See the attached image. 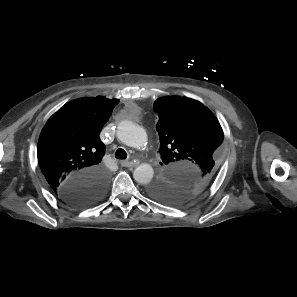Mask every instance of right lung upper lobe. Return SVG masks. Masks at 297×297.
<instances>
[{
    "mask_svg": "<svg viewBox=\"0 0 297 297\" xmlns=\"http://www.w3.org/2000/svg\"><path fill=\"white\" fill-rule=\"evenodd\" d=\"M118 99L81 98L64 105L42 129L37 148L40 168L56 194L80 173L105 171L99 134Z\"/></svg>",
    "mask_w": 297,
    "mask_h": 297,
    "instance_id": "1",
    "label": "right lung upper lobe"
}]
</instances>
